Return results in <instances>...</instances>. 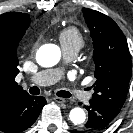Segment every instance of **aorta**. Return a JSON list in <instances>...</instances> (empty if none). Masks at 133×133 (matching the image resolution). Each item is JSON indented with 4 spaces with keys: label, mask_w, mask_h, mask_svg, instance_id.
<instances>
[{
    "label": "aorta",
    "mask_w": 133,
    "mask_h": 133,
    "mask_svg": "<svg viewBox=\"0 0 133 133\" xmlns=\"http://www.w3.org/2000/svg\"><path fill=\"white\" fill-rule=\"evenodd\" d=\"M61 57V51L54 44L43 45L36 54V60L42 67H52L56 65ZM70 120L75 125L83 124L86 120V113L82 108L75 107L69 113Z\"/></svg>",
    "instance_id": "obj_1"
}]
</instances>
